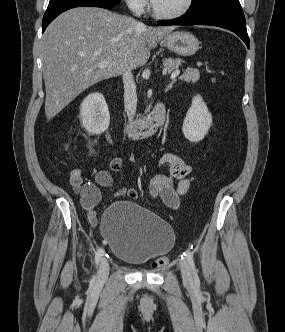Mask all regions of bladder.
I'll return each mask as SVG.
<instances>
[{
	"label": "bladder",
	"mask_w": 285,
	"mask_h": 332,
	"mask_svg": "<svg viewBox=\"0 0 285 332\" xmlns=\"http://www.w3.org/2000/svg\"><path fill=\"white\" fill-rule=\"evenodd\" d=\"M100 229L111 254L131 265L164 254L174 244L171 226L134 202L111 203L103 213Z\"/></svg>",
	"instance_id": "bladder-1"
}]
</instances>
